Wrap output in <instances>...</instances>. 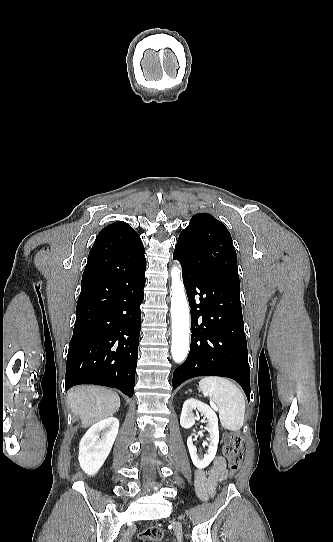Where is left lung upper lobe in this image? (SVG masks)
Returning <instances> with one entry per match:
<instances>
[{
  "label": "left lung upper lobe",
  "instance_id": "left-lung-upper-lobe-1",
  "mask_svg": "<svg viewBox=\"0 0 333 542\" xmlns=\"http://www.w3.org/2000/svg\"><path fill=\"white\" fill-rule=\"evenodd\" d=\"M175 250L190 266L239 283L237 255L231 235L211 214L194 215L181 232Z\"/></svg>",
  "mask_w": 333,
  "mask_h": 542
}]
</instances>
